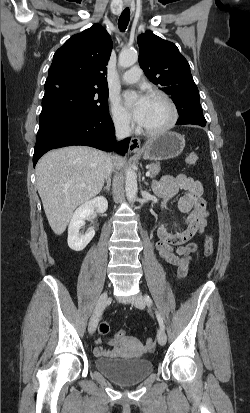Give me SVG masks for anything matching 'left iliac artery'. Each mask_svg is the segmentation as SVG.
<instances>
[{
    "label": "left iliac artery",
    "instance_id": "1",
    "mask_svg": "<svg viewBox=\"0 0 250 413\" xmlns=\"http://www.w3.org/2000/svg\"><path fill=\"white\" fill-rule=\"evenodd\" d=\"M145 300H146V302H147L149 305H153V301H152V299L150 298L149 295H145ZM156 316H157V319H158L160 328H161L162 330H164V329H165V325H164L163 320H162V318H161V316H160V314H159L158 311H156Z\"/></svg>",
    "mask_w": 250,
    "mask_h": 413
}]
</instances>
